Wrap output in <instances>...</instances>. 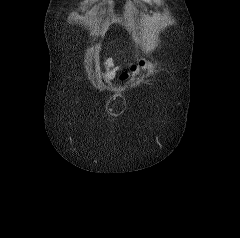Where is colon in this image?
I'll use <instances>...</instances> for the list:
<instances>
[{"mask_svg": "<svg viewBox=\"0 0 240 238\" xmlns=\"http://www.w3.org/2000/svg\"><path fill=\"white\" fill-rule=\"evenodd\" d=\"M143 65H144V62H140L139 64H135V65L131 66L128 70L124 71L121 74V76H120L121 80H126L131 75H134L135 73H137Z\"/></svg>", "mask_w": 240, "mask_h": 238, "instance_id": "colon-1", "label": "colon"}]
</instances>
